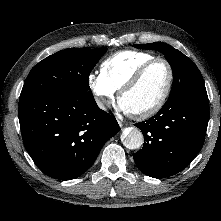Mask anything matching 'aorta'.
Instances as JSON below:
<instances>
[{
  "instance_id": "aorta-1",
  "label": "aorta",
  "mask_w": 221,
  "mask_h": 221,
  "mask_svg": "<svg viewBox=\"0 0 221 221\" xmlns=\"http://www.w3.org/2000/svg\"><path fill=\"white\" fill-rule=\"evenodd\" d=\"M122 141L126 148L135 150L141 148L144 143V138L139 129L131 127L124 131Z\"/></svg>"
}]
</instances>
